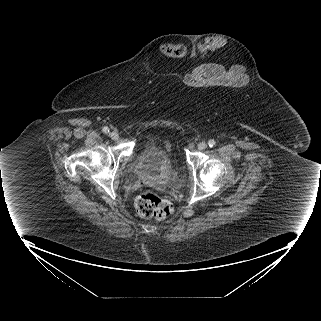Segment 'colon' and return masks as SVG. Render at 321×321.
Masks as SVG:
<instances>
[{
    "mask_svg": "<svg viewBox=\"0 0 321 321\" xmlns=\"http://www.w3.org/2000/svg\"><path fill=\"white\" fill-rule=\"evenodd\" d=\"M222 46L219 38H209L200 46V53L207 54ZM163 53L172 59H184L189 55L188 48L183 44H167L163 46ZM135 209L144 218L164 219L173 212L170 201L158 197L151 191H143L135 199Z\"/></svg>",
    "mask_w": 321,
    "mask_h": 321,
    "instance_id": "colon-1",
    "label": "colon"
}]
</instances>
